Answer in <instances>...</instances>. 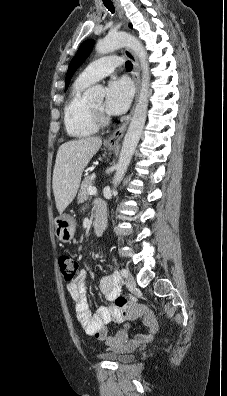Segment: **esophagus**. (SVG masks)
<instances>
[{
	"label": "esophagus",
	"mask_w": 227,
	"mask_h": 396,
	"mask_svg": "<svg viewBox=\"0 0 227 396\" xmlns=\"http://www.w3.org/2000/svg\"><path fill=\"white\" fill-rule=\"evenodd\" d=\"M118 14L120 16L121 19H124V13H123V9L121 7V5L119 4L118 0H114ZM124 54L125 56L132 62L133 64V71H132V76H133V80L136 86V95H135V101L133 103L132 109L130 111V113L127 115V117L125 118L124 122L121 124V126L115 130V132L107 139V144L108 145H117L119 144L120 140L122 139L127 126L131 120L136 102H137V98L139 95V90H140V68H139V63L138 60L135 56V54L128 48H125L124 50Z\"/></svg>",
	"instance_id": "1"
}]
</instances>
